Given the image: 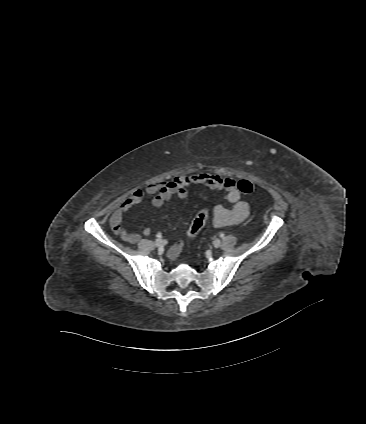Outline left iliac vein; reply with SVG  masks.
Segmentation results:
<instances>
[{"label":"left iliac vein","mask_w":366,"mask_h":424,"mask_svg":"<svg viewBox=\"0 0 366 424\" xmlns=\"http://www.w3.org/2000/svg\"><path fill=\"white\" fill-rule=\"evenodd\" d=\"M220 245H221V240H220V239H215V240L213 241V246H214L215 248L220 247Z\"/></svg>","instance_id":"obj_1"}]
</instances>
